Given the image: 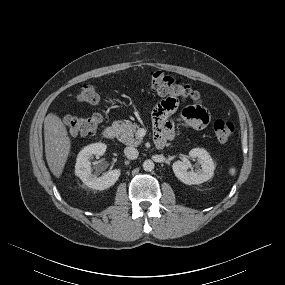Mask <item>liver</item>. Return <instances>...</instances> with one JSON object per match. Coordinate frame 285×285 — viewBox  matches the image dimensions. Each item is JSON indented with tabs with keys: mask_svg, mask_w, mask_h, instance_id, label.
Masks as SVG:
<instances>
[{
	"mask_svg": "<svg viewBox=\"0 0 285 285\" xmlns=\"http://www.w3.org/2000/svg\"><path fill=\"white\" fill-rule=\"evenodd\" d=\"M44 140L49 169L59 178L70 153L71 140L64 123L54 113H49L44 120Z\"/></svg>",
	"mask_w": 285,
	"mask_h": 285,
	"instance_id": "1",
	"label": "liver"
}]
</instances>
